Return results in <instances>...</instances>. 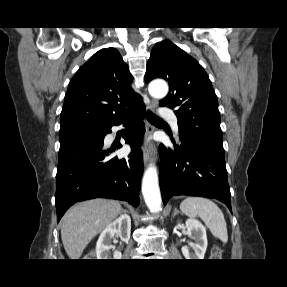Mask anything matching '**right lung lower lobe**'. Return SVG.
Returning <instances> with one entry per match:
<instances>
[{
  "mask_svg": "<svg viewBox=\"0 0 287 287\" xmlns=\"http://www.w3.org/2000/svg\"><path fill=\"white\" fill-rule=\"evenodd\" d=\"M144 116L145 105L140 104L125 115L99 126L96 137L60 143L55 194L58 222L78 201L101 197L125 200L134 207L139 205ZM123 122L128 128L123 138L131 146V153L122 159L110 158V151L102 149L104 137L111 132L112 126Z\"/></svg>",
  "mask_w": 287,
  "mask_h": 287,
  "instance_id": "obj_1",
  "label": "right lung lower lobe"
}]
</instances>
